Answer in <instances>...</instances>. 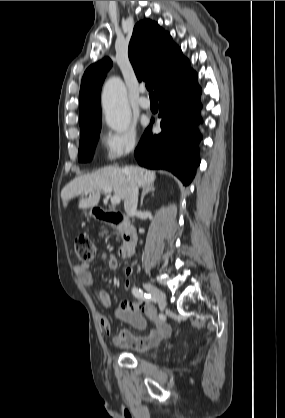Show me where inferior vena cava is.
I'll return each instance as SVG.
<instances>
[{
	"mask_svg": "<svg viewBox=\"0 0 285 418\" xmlns=\"http://www.w3.org/2000/svg\"><path fill=\"white\" fill-rule=\"evenodd\" d=\"M132 148H128L130 151ZM138 205V186L137 184L129 178V189L128 193L124 199V208L128 216H134L137 213Z\"/></svg>",
	"mask_w": 285,
	"mask_h": 418,
	"instance_id": "1",
	"label": "inferior vena cava"
}]
</instances>
